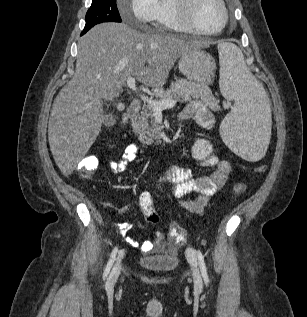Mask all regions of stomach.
<instances>
[{"label":"stomach","mask_w":307,"mask_h":317,"mask_svg":"<svg viewBox=\"0 0 307 317\" xmlns=\"http://www.w3.org/2000/svg\"><path fill=\"white\" fill-rule=\"evenodd\" d=\"M180 72L189 80L210 84L215 68L212 56L199 49L190 48L180 55L178 62Z\"/></svg>","instance_id":"1"}]
</instances>
